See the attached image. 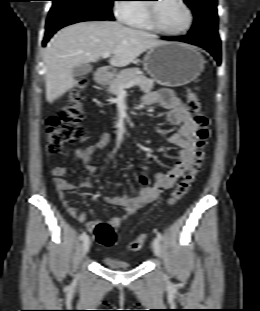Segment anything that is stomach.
<instances>
[{
  "label": "stomach",
  "mask_w": 260,
  "mask_h": 311,
  "mask_svg": "<svg viewBox=\"0 0 260 311\" xmlns=\"http://www.w3.org/2000/svg\"><path fill=\"white\" fill-rule=\"evenodd\" d=\"M204 63V57L192 46L166 42L149 49L143 66L160 85L178 87L197 79L204 70ZM105 79L103 75L99 81Z\"/></svg>",
  "instance_id": "obj_1"
}]
</instances>
